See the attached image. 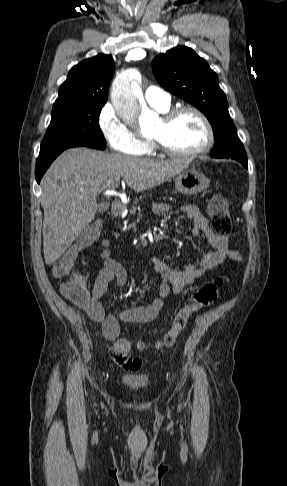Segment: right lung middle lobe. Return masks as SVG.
Returning <instances> with one entry per match:
<instances>
[{"instance_id":"right-lung-middle-lobe-1","label":"right lung middle lobe","mask_w":287,"mask_h":486,"mask_svg":"<svg viewBox=\"0 0 287 486\" xmlns=\"http://www.w3.org/2000/svg\"><path fill=\"white\" fill-rule=\"evenodd\" d=\"M104 105L105 102L85 101L53 106L39 156L79 146L104 150L106 141L98 123Z\"/></svg>"}]
</instances>
